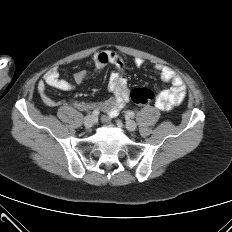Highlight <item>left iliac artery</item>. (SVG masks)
Here are the masks:
<instances>
[{
  "mask_svg": "<svg viewBox=\"0 0 232 232\" xmlns=\"http://www.w3.org/2000/svg\"><path fill=\"white\" fill-rule=\"evenodd\" d=\"M127 116H129V117H131V118H134L135 117V114H134V112H132V111H127Z\"/></svg>",
  "mask_w": 232,
  "mask_h": 232,
  "instance_id": "left-iliac-artery-1",
  "label": "left iliac artery"
}]
</instances>
